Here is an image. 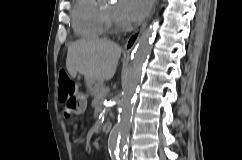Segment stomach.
<instances>
[{
    "label": "stomach",
    "instance_id": "obj_1",
    "mask_svg": "<svg viewBox=\"0 0 242 160\" xmlns=\"http://www.w3.org/2000/svg\"><path fill=\"white\" fill-rule=\"evenodd\" d=\"M88 93L95 96L103 89V83L97 80L85 79Z\"/></svg>",
    "mask_w": 242,
    "mask_h": 160
}]
</instances>
